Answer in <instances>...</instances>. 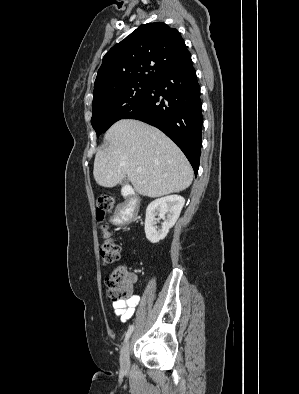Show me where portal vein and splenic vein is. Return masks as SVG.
<instances>
[{
	"mask_svg": "<svg viewBox=\"0 0 299 394\" xmlns=\"http://www.w3.org/2000/svg\"><path fill=\"white\" fill-rule=\"evenodd\" d=\"M136 171H137V172H141L142 169H141L140 167H138V168H136Z\"/></svg>",
	"mask_w": 299,
	"mask_h": 394,
	"instance_id": "portal-vein-and-splenic-vein-1",
	"label": "portal vein and splenic vein"
}]
</instances>
